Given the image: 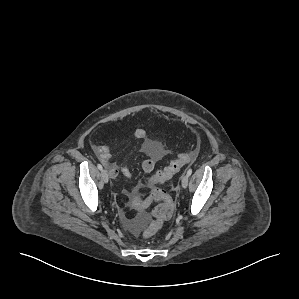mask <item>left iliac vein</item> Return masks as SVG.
I'll return each mask as SVG.
<instances>
[{
    "mask_svg": "<svg viewBox=\"0 0 299 299\" xmlns=\"http://www.w3.org/2000/svg\"><path fill=\"white\" fill-rule=\"evenodd\" d=\"M189 176L187 174L183 175L181 178V185L183 188L188 186Z\"/></svg>",
    "mask_w": 299,
    "mask_h": 299,
    "instance_id": "left-iliac-vein-1",
    "label": "left iliac vein"
}]
</instances>
